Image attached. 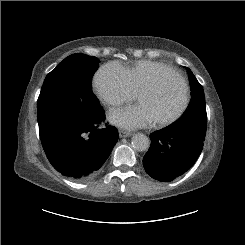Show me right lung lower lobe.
<instances>
[{
	"mask_svg": "<svg viewBox=\"0 0 245 245\" xmlns=\"http://www.w3.org/2000/svg\"><path fill=\"white\" fill-rule=\"evenodd\" d=\"M104 119L101 111L88 121L56 126L40 135L51 165L73 180L87 181L96 177L118 141L116 128H98Z\"/></svg>",
	"mask_w": 245,
	"mask_h": 245,
	"instance_id": "1",
	"label": "right lung lower lobe"
}]
</instances>
